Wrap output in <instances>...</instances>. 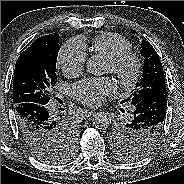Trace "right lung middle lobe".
Returning <instances> with one entry per match:
<instances>
[{
  "mask_svg": "<svg viewBox=\"0 0 184 184\" xmlns=\"http://www.w3.org/2000/svg\"><path fill=\"white\" fill-rule=\"evenodd\" d=\"M59 36L50 35L46 44L31 45L16 62L12 96L14 106L24 102L47 104L50 89L57 81L56 61ZM75 148V131L71 126L62 129L55 144L42 151L33 152L39 160L54 164L65 162Z\"/></svg>",
  "mask_w": 184,
  "mask_h": 184,
  "instance_id": "1",
  "label": "right lung middle lobe"
}]
</instances>
